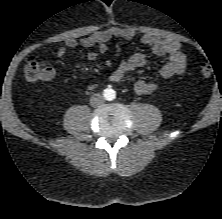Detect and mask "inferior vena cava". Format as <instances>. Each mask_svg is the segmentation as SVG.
I'll use <instances>...</instances> for the list:
<instances>
[{
    "mask_svg": "<svg viewBox=\"0 0 222 219\" xmlns=\"http://www.w3.org/2000/svg\"><path fill=\"white\" fill-rule=\"evenodd\" d=\"M104 99L100 94H93L90 99V104L93 107L103 104Z\"/></svg>",
    "mask_w": 222,
    "mask_h": 219,
    "instance_id": "1",
    "label": "inferior vena cava"
}]
</instances>
